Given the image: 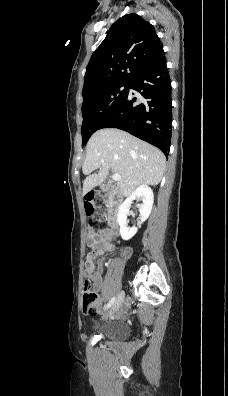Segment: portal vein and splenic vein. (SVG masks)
Segmentation results:
<instances>
[{
	"label": "portal vein and splenic vein",
	"instance_id": "portal-vein-and-splenic-vein-1",
	"mask_svg": "<svg viewBox=\"0 0 228 396\" xmlns=\"http://www.w3.org/2000/svg\"><path fill=\"white\" fill-rule=\"evenodd\" d=\"M112 179H113L114 181H120V180H121V176H120L119 174H113V175H112Z\"/></svg>",
	"mask_w": 228,
	"mask_h": 396
}]
</instances>
